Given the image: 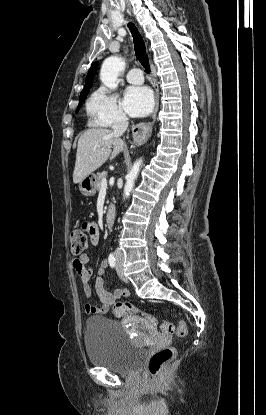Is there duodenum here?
<instances>
[{
    "label": "duodenum",
    "mask_w": 266,
    "mask_h": 415,
    "mask_svg": "<svg viewBox=\"0 0 266 415\" xmlns=\"http://www.w3.org/2000/svg\"><path fill=\"white\" fill-rule=\"evenodd\" d=\"M114 217H115V208L114 206L110 205L105 215V222H106L107 227H112L114 223Z\"/></svg>",
    "instance_id": "duodenum-1"
}]
</instances>
